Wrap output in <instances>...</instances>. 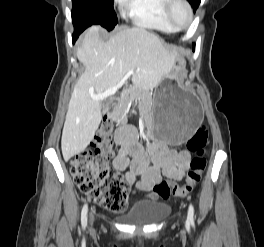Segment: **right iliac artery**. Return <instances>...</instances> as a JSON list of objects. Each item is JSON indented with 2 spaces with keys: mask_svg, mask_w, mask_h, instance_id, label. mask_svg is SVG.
Returning <instances> with one entry per match:
<instances>
[{
  "mask_svg": "<svg viewBox=\"0 0 264 247\" xmlns=\"http://www.w3.org/2000/svg\"><path fill=\"white\" fill-rule=\"evenodd\" d=\"M87 212H88V205L85 204L81 212V224L83 228L87 226Z\"/></svg>",
  "mask_w": 264,
  "mask_h": 247,
  "instance_id": "1",
  "label": "right iliac artery"
}]
</instances>
